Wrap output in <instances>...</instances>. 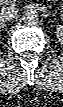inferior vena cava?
<instances>
[{"mask_svg":"<svg viewBox=\"0 0 63 107\" xmlns=\"http://www.w3.org/2000/svg\"><path fill=\"white\" fill-rule=\"evenodd\" d=\"M18 14V10L14 6L3 7L0 10V20L3 22H8L13 20Z\"/></svg>","mask_w":63,"mask_h":107,"instance_id":"1","label":"inferior vena cava"}]
</instances>
